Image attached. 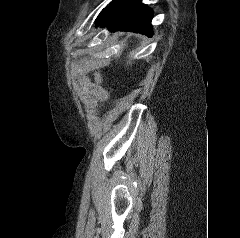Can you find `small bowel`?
Wrapping results in <instances>:
<instances>
[{"label": "small bowel", "mask_w": 240, "mask_h": 238, "mask_svg": "<svg viewBox=\"0 0 240 238\" xmlns=\"http://www.w3.org/2000/svg\"><path fill=\"white\" fill-rule=\"evenodd\" d=\"M91 90L102 97L107 96V92L98 85H94L93 87H91Z\"/></svg>", "instance_id": "1"}]
</instances>
